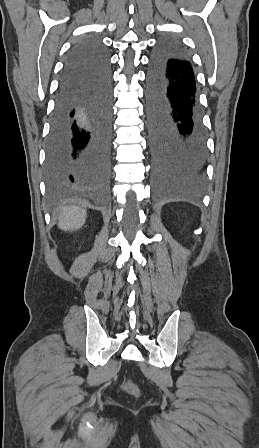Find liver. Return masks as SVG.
I'll return each mask as SVG.
<instances>
[{
    "instance_id": "6515ba94",
    "label": "liver",
    "mask_w": 259,
    "mask_h": 448,
    "mask_svg": "<svg viewBox=\"0 0 259 448\" xmlns=\"http://www.w3.org/2000/svg\"><path fill=\"white\" fill-rule=\"evenodd\" d=\"M85 218V210H81L77 206H69V208H65L58 226L60 230H79L83 226Z\"/></svg>"
}]
</instances>
